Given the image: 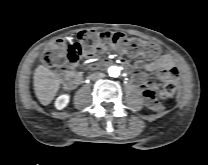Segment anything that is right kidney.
<instances>
[{
  "mask_svg": "<svg viewBox=\"0 0 208 165\" xmlns=\"http://www.w3.org/2000/svg\"><path fill=\"white\" fill-rule=\"evenodd\" d=\"M69 100H70V96L68 94H63L59 96L55 101V107L58 110H62L68 105Z\"/></svg>",
  "mask_w": 208,
  "mask_h": 165,
  "instance_id": "ca27d5eb",
  "label": "right kidney"
}]
</instances>
